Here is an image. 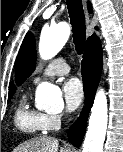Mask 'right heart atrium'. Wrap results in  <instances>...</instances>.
I'll use <instances>...</instances> for the list:
<instances>
[{
    "instance_id": "right-heart-atrium-1",
    "label": "right heart atrium",
    "mask_w": 123,
    "mask_h": 152,
    "mask_svg": "<svg viewBox=\"0 0 123 152\" xmlns=\"http://www.w3.org/2000/svg\"><path fill=\"white\" fill-rule=\"evenodd\" d=\"M62 114H44L43 125L46 131L54 130L59 127Z\"/></svg>"
}]
</instances>
